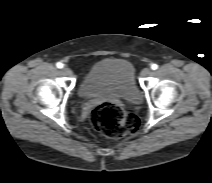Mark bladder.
Wrapping results in <instances>:
<instances>
[{
  "instance_id": "obj_1",
  "label": "bladder",
  "mask_w": 212,
  "mask_h": 183,
  "mask_svg": "<svg viewBox=\"0 0 212 183\" xmlns=\"http://www.w3.org/2000/svg\"><path fill=\"white\" fill-rule=\"evenodd\" d=\"M78 91L83 98L110 96L131 103L141 100L131 63L116 57L95 62L82 79Z\"/></svg>"
}]
</instances>
